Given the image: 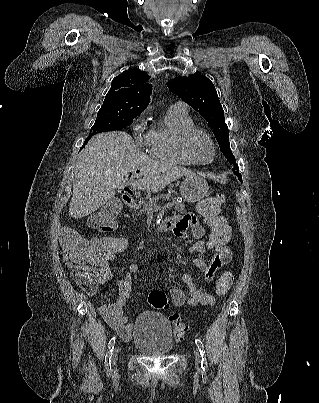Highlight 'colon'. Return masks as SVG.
Segmentation results:
<instances>
[{"mask_svg":"<svg viewBox=\"0 0 319 403\" xmlns=\"http://www.w3.org/2000/svg\"><path fill=\"white\" fill-rule=\"evenodd\" d=\"M224 196L221 194L209 197L203 202L201 213L208 222L209 247H228V243L234 242L232 234L233 222L229 218H219L224 204ZM123 201H112L111 208L104 212L93 215L90 218V225L103 234H88V241H85L75 230L67 228L62 231V246L65 256L77 265L73 272L76 283L87 293H93L98 287L99 278L91 267V263L100 258H125V249L131 248V241L127 240L126 234L112 233L116 227L118 210H123ZM234 276L231 272H224L216 283V293L224 295L233 284ZM191 281L190 277L186 278ZM148 302L156 309L168 307V298L164 291L156 289L148 296ZM173 325V334L176 339L181 340L187 327L183 323L180 314L173 313L170 316Z\"/></svg>","mask_w":319,"mask_h":403,"instance_id":"colon-1","label":"colon"}]
</instances>
